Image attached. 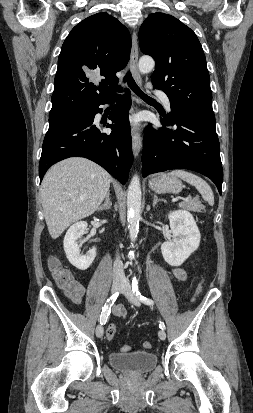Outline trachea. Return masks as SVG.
<instances>
[{"label": "trachea", "instance_id": "3493384b", "mask_svg": "<svg viewBox=\"0 0 253 413\" xmlns=\"http://www.w3.org/2000/svg\"><path fill=\"white\" fill-rule=\"evenodd\" d=\"M124 82H127L128 86L143 100L150 101V102H155L154 99L148 97L145 93L141 91V89L138 87L136 82L134 81L132 75L130 72H127L125 77H124Z\"/></svg>", "mask_w": 253, "mask_h": 413}]
</instances>
